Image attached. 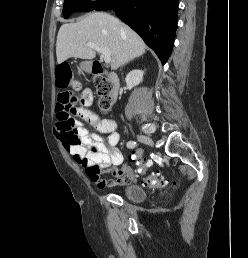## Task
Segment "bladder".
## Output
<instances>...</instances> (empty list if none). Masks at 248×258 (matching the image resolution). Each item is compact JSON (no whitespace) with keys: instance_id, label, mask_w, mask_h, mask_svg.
<instances>
[{"instance_id":"bladder-1","label":"bladder","mask_w":248,"mask_h":258,"mask_svg":"<svg viewBox=\"0 0 248 258\" xmlns=\"http://www.w3.org/2000/svg\"><path fill=\"white\" fill-rule=\"evenodd\" d=\"M124 196L132 202H141L146 198L145 190L139 185H128L123 190Z\"/></svg>"}]
</instances>
